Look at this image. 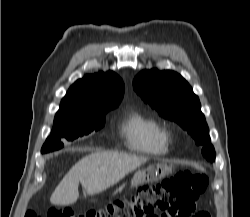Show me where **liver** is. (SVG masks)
I'll return each mask as SVG.
<instances>
[{"instance_id": "6515ba94", "label": "liver", "mask_w": 250, "mask_h": 217, "mask_svg": "<svg viewBox=\"0 0 250 217\" xmlns=\"http://www.w3.org/2000/svg\"><path fill=\"white\" fill-rule=\"evenodd\" d=\"M146 161L144 157L119 152H95L87 155L63 177L52 193L50 202L61 206L74 204L79 197V182L88 195L100 193Z\"/></svg>"}]
</instances>
